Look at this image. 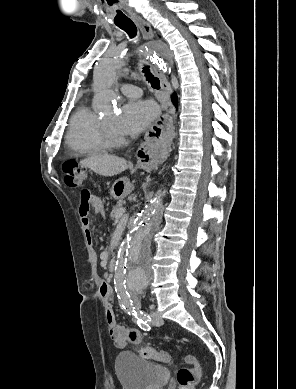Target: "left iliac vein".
I'll use <instances>...</instances> for the list:
<instances>
[{
	"mask_svg": "<svg viewBox=\"0 0 296 389\" xmlns=\"http://www.w3.org/2000/svg\"><path fill=\"white\" fill-rule=\"evenodd\" d=\"M151 317H152V324L155 326H161L163 324V319L159 315L158 312H151Z\"/></svg>",
	"mask_w": 296,
	"mask_h": 389,
	"instance_id": "4c4485c4",
	"label": "left iliac vein"
}]
</instances>
